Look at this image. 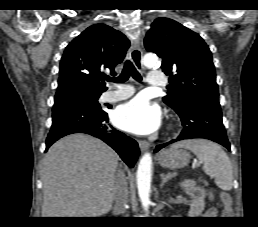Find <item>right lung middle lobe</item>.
<instances>
[{"mask_svg":"<svg viewBox=\"0 0 258 227\" xmlns=\"http://www.w3.org/2000/svg\"><path fill=\"white\" fill-rule=\"evenodd\" d=\"M102 92L87 90V89H68L60 92H56L54 99V106L60 105L66 102H76L88 107L93 111H101V107L98 103V98Z\"/></svg>","mask_w":258,"mask_h":227,"instance_id":"dd1d6c3e","label":"right lung middle lobe"}]
</instances>
